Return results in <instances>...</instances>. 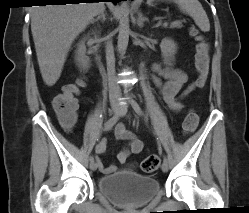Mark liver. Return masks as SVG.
Masks as SVG:
<instances>
[{
    "label": "liver",
    "mask_w": 249,
    "mask_h": 213,
    "mask_svg": "<svg viewBox=\"0 0 249 213\" xmlns=\"http://www.w3.org/2000/svg\"><path fill=\"white\" fill-rule=\"evenodd\" d=\"M104 10V2L32 7L31 31L46 85L58 81L73 41Z\"/></svg>",
    "instance_id": "liver-1"
}]
</instances>
